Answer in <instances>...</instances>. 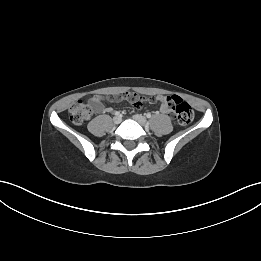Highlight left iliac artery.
<instances>
[{
    "mask_svg": "<svg viewBox=\"0 0 261 261\" xmlns=\"http://www.w3.org/2000/svg\"><path fill=\"white\" fill-rule=\"evenodd\" d=\"M146 117H147V118H151V114H150V113H147V114H146Z\"/></svg>",
    "mask_w": 261,
    "mask_h": 261,
    "instance_id": "obj_1",
    "label": "left iliac artery"
}]
</instances>
